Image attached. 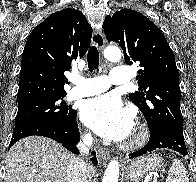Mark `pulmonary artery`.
Returning <instances> with one entry per match:
<instances>
[{
  "instance_id": "pulmonary-artery-1",
  "label": "pulmonary artery",
  "mask_w": 196,
  "mask_h": 182,
  "mask_svg": "<svg viewBox=\"0 0 196 182\" xmlns=\"http://www.w3.org/2000/svg\"><path fill=\"white\" fill-rule=\"evenodd\" d=\"M131 81V70L127 67L113 68L109 77L95 76L75 79L74 87L69 91L72 99L100 94L111 85H126Z\"/></svg>"
}]
</instances>
